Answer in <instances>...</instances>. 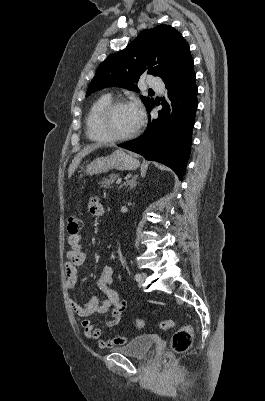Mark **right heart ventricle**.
I'll list each match as a JSON object with an SVG mask.
<instances>
[{"mask_svg": "<svg viewBox=\"0 0 265 401\" xmlns=\"http://www.w3.org/2000/svg\"><path fill=\"white\" fill-rule=\"evenodd\" d=\"M112 100L109 94L98 97L90 106L86 118V132L88 137L93 141L103 142V137L96 131L95 120L100 110Z\"/></svg>", "mask_w": 265, "mask_h": 401, "instance_id": "obj_1", "label": "right heart ventricle"}]
</instances>
